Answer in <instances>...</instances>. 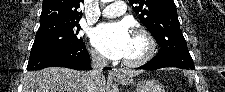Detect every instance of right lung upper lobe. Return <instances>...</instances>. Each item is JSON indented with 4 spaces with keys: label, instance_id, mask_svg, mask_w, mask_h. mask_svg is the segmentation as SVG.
<instances>
[{
    "label": "right lung upper lobe",
    "instance_id": "1",
    "mask_svg": "<svg viewBox=\"0 0 225 92\" xmlns=\"http://www.w3.org/2000/svg\"><path fill=\"white\" fill-rule=\"evenodd\" d=\"M83 0H43L40 24L48 22H78Z\"/></svg>",
    "mask_w": 225,
    "mask_h": 92
}]
</instances>
